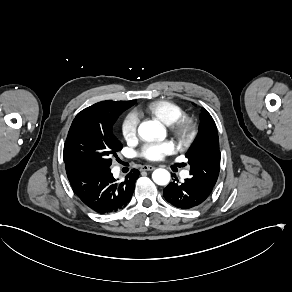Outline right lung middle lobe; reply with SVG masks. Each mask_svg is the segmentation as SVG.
<instances>
[{"instance_id":"right-lung-middle-lobe-1","label":"right lung middle lobe","mask_w":292,"mask_h":292,"mask_svg":"<svg viewBox=\"0 0 292 292\" xmlns=\"http://www.w3.org/2000/svg\"><path fill=\"white\" fill-rule=\"evenodd\" d=\"M128 108L99 102L79 112L64 144L65 166L109 168L112 164L111 157L117 156L116 152L123 147L113 134V125Z\"/></svg>"}]
</instances>
